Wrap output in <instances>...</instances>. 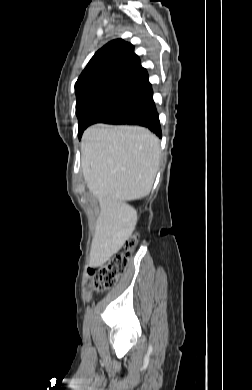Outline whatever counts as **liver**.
I'll return each mask as SVG.
<instances>
[{"label": "liver", "instance_id": "liver-1", "mask_svg": "<svg viewBox=\"0 0 252 390\" xmlns=\"http://www.w3.org/2000/svg\"><path fill=\"white\" fill-rule=\"evenodd\" d=\"M81 154L84 180L101 208L89 262L99 267L135 229L137 217L126 202L150 193L160 162L159 139L143 127L96 124L83 133Z\"/></svg>", "mask_w": 252, "mask_h": 390}]
</instances>
